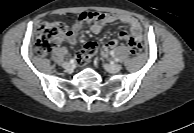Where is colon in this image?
Wrapping results in <instances>:
<instances>
[{
	"label": "colon",
	"mask_w": 194,
	"mask_h": 133,
	"mask_svg": "<svg viewBox=\"0 0 194 133\" xmlns=\"http://www.w3.org/2000/svg\"><path fill=\"white\" fill-rule=\"evenodd\" d=\"M67 32L66 25L62 22H45L38 31L35 41V50L40 56H47L55 43L62 38ZM96 44L89 42L78 52L76 60L79 64H86L96 52ZM129 49L132 55H138L142 50V44L136 39H130Z\"/></svg>",
	"instance_id": "obj_1"
}]
</instances>
